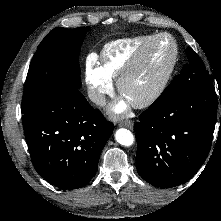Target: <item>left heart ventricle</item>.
<instances>
[{"mask_svg": "<svg viewBox=\"0 0 221 221\" xmlns=\"http://www.w3.org/2000/svg\"><path fill=\"white\" fill-rule=\"evenodd\" d=\"M172 55V45L169 39L162 38L151 48L146 63L126 87L125 97L133 102L145 97L162 77Z\"/></svg>", "mask_w": 221, "mask_h": 221, "instance_id": "left-heart-ventricle-1", "label": "left heart ventricle"}]
</instances>
